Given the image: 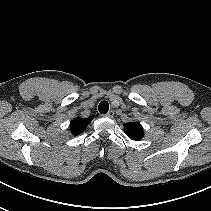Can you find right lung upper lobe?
Listing matches in <instances>:
<instances>
[{
  "label": "right lung upper lobe",
  "instance_id": "cb5924a9",
  "mask_svg": "<svg viewBox=\"0 0 211 211\" xmlns=\"http://www.w3.org/2000/svg\"><path fill=\"white\" fill-rule=\"evenodd\" d=\"M93 117L90 116L88 118H77L70 122V130L74 135H78L82 133L88 124L92 121Z\"/></svg>",
  "mask_w": 211,
  "mask_h": 211
}]
</instances>
